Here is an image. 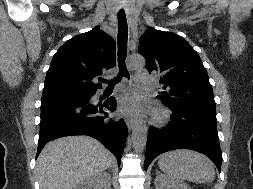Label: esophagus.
Wrapping results in <instances>:
<instances>
[{
	"label": "esophagus",
	"mask_w": 253,
	"mask_h": 189,
	"mask_svg": "<svg viewBox=\"0 0 253 189\" xmlns=\"http://www.w3.org/2000/svg\"><path fill=\"white\" fill-rule=\"evenodd\" d=\"M134 126H135V121H133V120H128L127 121V127H128L129 130L133 129Z\"/></svg>",
	"instance_id": "obj_1"
}]
</instances>
